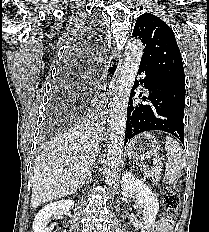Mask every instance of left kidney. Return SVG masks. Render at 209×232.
<instances>
[{"label": "left kidney", "instance_id": "1", "mask_svg": "<svg viewBox=\"0 0 209 232\" xmlns=\"http://www.w3.org/2000/svg\"><path fill=\"white\" fill-rule=\"evenodd\" d=\"M121 188L125 198L135 196L139 206L144 208L143 217L139 216V219L132 217L131 222L137 230L146 232L145 230L155 221L159 211L156 195L143 181L133 177L128 172L122 175Z\"/></svg>", "mask_w": 209, "mask_h": 232}]
</instances>
